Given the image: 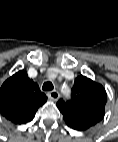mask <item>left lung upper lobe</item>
Wrapping results in <instances>:
<instances>
[{
    "label": "left lung upper lobe",
    "mask_w": 118,
    "mask_h": 142,
    "mask_svg": "<svg viewBox=\"0 0 118 142\" xmlns=\"http://www.w3.org/2000/svg\"><path fill=\"white\" fill-rule=\"evenodd\" d=\"M107 94L105 88L80 75L72 88V99H60L57 107L66 124L75 130H87L104 117Z\"/></svg>",
    "instance_id": "left-lung-upper-lobe-1"
}]
</instances>
